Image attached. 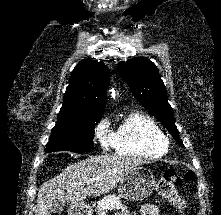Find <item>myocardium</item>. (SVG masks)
Masks as SVG:
<instances>
[{
  "mask_svg": "<svg viewBox=\"0 0 221 215\" xmlns=\"http://www.w3.org/2000/svg\"><path fill=\"white\" fill-rule=\"evenodd\" d=\"M156 141L164 149H167L169 146V143H170L168 137L166 135H164L163 133L156 137Z\"/></svg>",
  "mask_w": 221,
  "mask_h": 215,
  "instance_id": "f54148a6",
  "label": "myocardium"
}]
</instances>
